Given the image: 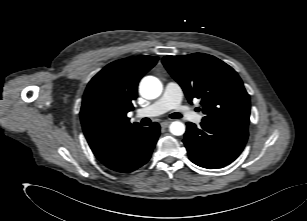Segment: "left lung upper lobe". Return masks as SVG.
<instances>
[{"label":"left lung upper lobe","instance_id":"1","mask_svg":"<svg viewBox=\"0 0 307 221\" xmlns=\"http://www.w3.org/2000/svg\"><path fill=\"white\" fill-rule=\"evenodd\" d=\"M162 62L190 103L201 100L202 122L248 129L250 97L233 68L204 53L165 56Z\"/></svg>","mask_w":307,"mask_h":221}]
</instances>
